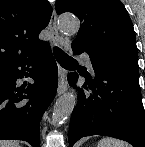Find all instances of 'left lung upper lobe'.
Instances as JSON below:
<instances>
[{"label":"left lung upper lobe","instance_id":"5c2ea615","mask_svg":"<svg viewBox=\"0 0 145 147\" xmlns=\"http://www.w3.org/2000/svg\"><path fill=\"white\" fill-rule=\"evenodd\" d=\"M56 12L74 13L82 23L72 45L94 55L138 58L133 24L120 0H56Z\"/></svg>","mask_w":145,"mask_h":147}]
</instances>
